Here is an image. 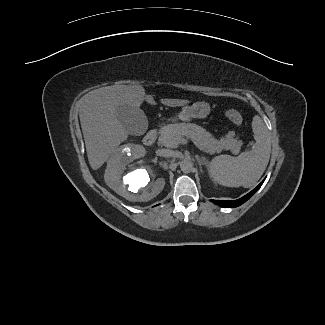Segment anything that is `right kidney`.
Here are the masks:
<instances>
[{"instance_id":"ca27d5eb","label":"right kidney","mask_w":325,"mask_h":325,"mask_svg":"<svg viewBox=\"0 0 325 325\" xmlns=\"http://www.w3.org/2000/svg\"><path fill=\"white\" fill-rule=\"evenodd\" d=\"M140 157L133 146L123 145L107 162L104 175L106 184L129 201H149L156 197L165 185V180L156 178L155 170L145 161L134 162ZM125 170H128V173L123 176Z\"/></svg>"}]
</instances>
